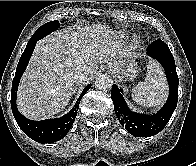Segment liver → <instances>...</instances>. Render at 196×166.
Instances as JSON below:
<instances>
[{
	"label": "liver",
	"instance_id": "6515ba94",
	"mask_svg": "<svg viewBox=\"0 0 196 166\" xmlns=\"http://www.w3.org/2000/svg\"><path fill=\"white\" fill-rule=\"evenodd\" d=\"M131 53L114 30L106 25L66 28L38 41L17 93V107L29 119L40 120L62 111L83 83L75 78L78 68L92 80L99 63L112 69Z\"/></svg>",
	"mask_w": 196,
	"mask_h": 166
}]
</instances>
